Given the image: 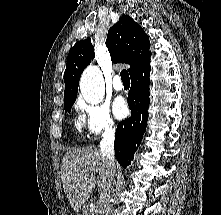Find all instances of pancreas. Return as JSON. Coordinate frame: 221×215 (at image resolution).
I'll use <instances>...</instances> for the list:
<instances>
[{"label": "pancreas", "mask_w": 221, "mask_h": 215, "mask_svg": "<svg viewBox=\"0 0 221 215\" xmlns=\"http://www.w3.org/2000/svg\"><path fill=\"white\" fill-rule=\"evenodd\" d=\"M90 208H91L90 205H87V206H86V208H85V210H86V212H87L86 215H89V214H90V215H98L99 210H97V212L91 213V212H90ZM88 212H89V213H88Z\"/></svg>", "instance_id": "pancreas-1"}]
</instances>
